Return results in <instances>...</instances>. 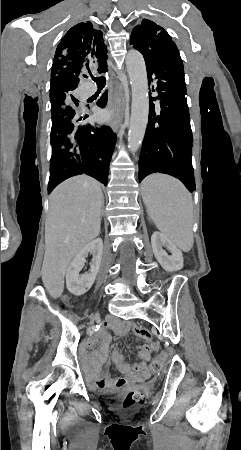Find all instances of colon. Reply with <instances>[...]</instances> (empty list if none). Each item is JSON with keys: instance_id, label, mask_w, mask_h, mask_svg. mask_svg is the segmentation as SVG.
Returning <instances> with one entry per match:
<instances>
[{"instance_id": "5ec220e1", "label": "colon", "mask_w": 241, "mask_h": 450, "mask_svg": "<svg viewBox=\"0 0 241 450\" xmlns=\"http://www.w3.org/2000/svg\"><path fill=\"white\" fill-rule=\"evenodd\" d=\"M167 360V357L165 355H162L161 357H156L152 362V371L155 373H158L163 368V363ZM146 402L145 398L143 397V394L141 392H138L136 390H132L127 393L125 398L122 401V406L127 409H134L136 407L144 405Z\"/></svg>"}]
</instances>
